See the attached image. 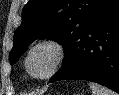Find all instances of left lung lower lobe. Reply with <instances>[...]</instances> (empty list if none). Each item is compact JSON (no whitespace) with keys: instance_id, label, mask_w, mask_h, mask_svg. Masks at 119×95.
I'll use <instances>...</instances> for the list:
<instances>
[{"instance_id":"obj_1","label":"left lung lower lobe","mask_w":119,"mask_h":95,"mask_svg":"<svg viewBox=\"0 0 119 95\" xmlns=\"http://www.w3.org/2000/svg\"><path fill=\"white\" fill-rule=\"evenodd\" d=\"M71 79L96 82L119 93V0L94 20L78 43L73 64L50 83Z\"/></svg>"}]
</instances>
